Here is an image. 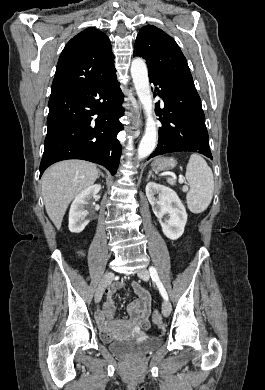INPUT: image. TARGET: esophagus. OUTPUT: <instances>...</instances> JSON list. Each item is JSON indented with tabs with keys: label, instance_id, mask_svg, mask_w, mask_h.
I'll use <instances>...</instances> for the list:
<instances>
[{
	"label": "esophagus",
	"instance_id": "1",
	"mask_svg": "<svg viewBox=\"0 0 265 390\" xmlns=\"http://www.w3.org/2000/svg\"><path fill=\"white\" fill-rule=\"evenodd\" d=\"M138 111H139V113L141 114V105H140V103H138ZM133 125H134L135 127L141 126V125H142V122H141V120L139 121L138 118H137L136 116H134V117H133Z\"/></svg>",
	"mask_w": 265,
	"mask_h": 390
}]
</instances>
